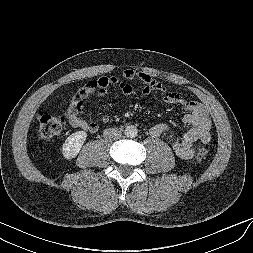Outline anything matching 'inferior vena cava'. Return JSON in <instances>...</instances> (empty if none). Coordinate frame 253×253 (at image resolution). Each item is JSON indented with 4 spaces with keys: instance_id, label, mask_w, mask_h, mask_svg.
Here are the masks:
<instances>
[{
    "instance_id": "1",
    "label": "inferior vena cava",
    "mask_w": 253,
    "mask_h": 253,
    "mask_svg": "<svg viewBox=\"0 0 253 253\" xmlns=\"http://www.w3.org/2000/svg\"><path fill=\"white\" fill-rule=\"evenodd\" d=\"M103 135L108 140H118L121 138L122 133L116 128H108L104 130Z\"/></svg>"
}]
</instances>
